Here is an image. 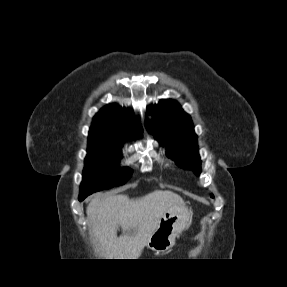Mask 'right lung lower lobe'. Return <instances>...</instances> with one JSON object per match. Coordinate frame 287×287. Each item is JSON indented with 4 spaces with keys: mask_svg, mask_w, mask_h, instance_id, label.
<instances>
[{
    "mask_svg": "<svg viewBox=\"0 0 287 287\" xmlns=\"http://www.w3.org/2000/svg\"><path fill=\"white\" fill-rule=\"evenodd\" d=\"M87 196H79V201H83Z\"/></svg>",
    "mask_w": 287,
    "mask_h": 287,
    "instance_id": "98d812e1",
    "label": "right lung lower lobe"
}]
</instances>
